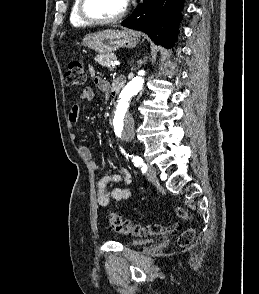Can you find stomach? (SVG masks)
Returning a JSON list of instances; mask_svg holds the SVG:
<instances>
[{"instance_id":"0dacf381","label":"stomach","mask_w":259,"mask_h":294,"mask_svg":"<svg viewBox=\"0 0 259 294\" xmlns=\"http://www.w3.org/2000/svg\"><path fill=\"white\" fill-rule=\"evenodd\" d=\"M138 41L129 31L107 29L86 35L83 44L100 54H110L122 47L133 48Z\"/></svg>"}]
</instances>
